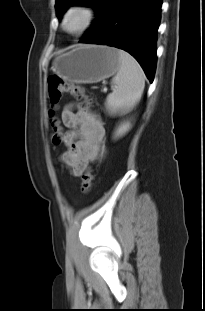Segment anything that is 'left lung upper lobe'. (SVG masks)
<instances>
[{"label": "left lung upper lobe", "mask_w": 205, "mask_h": 311, "mask_svg": "<svg viewBox=\"0 0 205 311\" xmlns=\"http://www.w3.org/2000/svg\"><path fill=\"white\" fill-rule=\"evenodd\" d=\"M113 1L114 0H56V15L60 19V16L64 13V11L72 4H82L90 6L96 10L97 14V19L93 22L92 27L88 30L90 31L91 29L96 27L108 14Z\"/></svg>", "instance_id": "1"}]
</instances>
